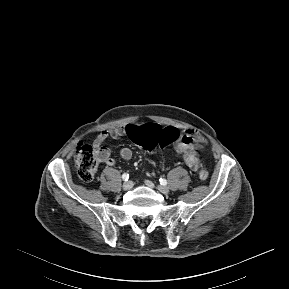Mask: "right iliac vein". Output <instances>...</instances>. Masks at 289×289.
I'll use <instances>...</instances> for the list:
<instances>
[{
	"label": "right iliac vein",
	"instance_id": "1",
	"mask_svg": "<svg viewBox=\"0 0 289 289\" xmlns=\"http://www.w3.org/2000/svg\"><path fill=\"white\" fill-rule=\"evenodd\" d=\"M122 187L124 190H130L133 187V182L132 181L125 182L123 183Z\"/></svg>",
	"mask_w": 289,
	"mask_h": 289
}]
</instances>
